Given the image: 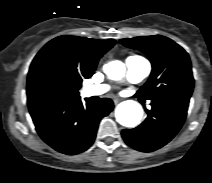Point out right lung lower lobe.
<instances>
[{"label":"right lung lower lobe","mask_w":212,"mask_h":183,"mask_svg":"<svg viewBox=\"0 0 212 183\" xmlns=\"http://www.w3.org/2000/svg\"><path fill=\"white\" fill-rule=\"evenodd\" d=\"M108 98L98 103L80 97L55 96L29 105V111L40 137L55 150L75 155L88 149L95 140L100 120L113 110Z\"/></svg>","instance_id":"right-lung-lower-lobe-1"}]
</instances>
